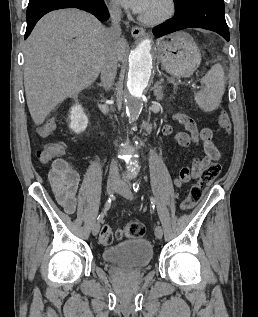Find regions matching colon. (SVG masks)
I'll use <instances>...</instances> for the list:
<instances>
[{
  "mask_svg": "<svg viewBox=\"0 0 258 317\" xmlns=\"http://www.w3.org/2000/svg\"><path fill=\"white\" fill-rule=\"evenodd\" d=\"M218 124L222 130L229 133L231 130V122L228 114L221 111L218 115ZM64 146L58 142H51L37 151L38 158L43 162H48L54 158L61 156L64 153ZM221 166L219 163L211 162L202 171L198 181L190 188L188 196L182 202L183 210H190L197 205L203 198L205 192L219 176ZM145 233V226L141 222H131L123 230L114 232L109 226L102 227L99 241L102 245H111L115 238L125 235L129 238H139Z\"/></svg>",
  "mask_w": 258,
  "mask_h": 317,
  "instance_id": "5ec220e1",
  "label": "colon"
}]
</instances>
